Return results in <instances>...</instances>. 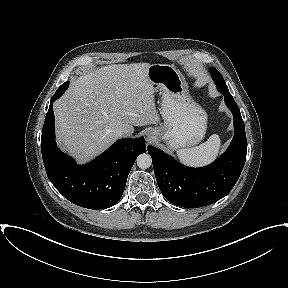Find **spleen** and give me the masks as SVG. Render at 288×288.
Returning <instances> with one entry per match:
<instances>
[{
    "instance_id": "obj_1",
    "label": "spleen",
    "mask_w": 288,
    "mask_h": 288,
    "mask_svg": "<svg viewBox=\"0 0 288 288\" xmlns=\"http://www.w3.org/2000/svg\"><path fill=\"white\" fill-rule=\"evenodd\" d=\"M220 146L219 135L213 134L205 143L197 147L177 150V156L187 166L201 167L210 164L216 159Z\"/></svg>"
}]
</instances>
